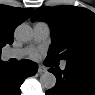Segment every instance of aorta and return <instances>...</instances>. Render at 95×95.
<instances>
[{
  "label": "aorta",
  "mask_w": 95,
  "mask_h": 95,
  "mask_svg": "<svg viewBox=\"0 0 95 95\" xmlns=\"http://www.w3.org/2000/svg\"><path fill=\"white\" fill-rule=\"evenodd\" d=\"M15 37L23 42L33 38V29L26 23L18 25L14 32ZM40 83L45 89H52L56 84V77L53 73L45 72L40 76Z\"/></svg>",
  "instance_id": "762f6f07"
}]
</instances>
